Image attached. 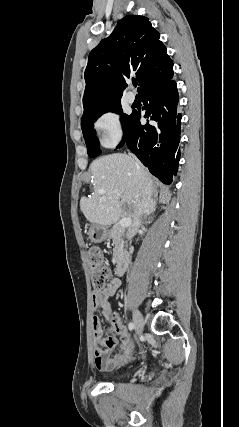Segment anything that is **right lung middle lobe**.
Masks as SVG:
<instances>
[{
  "label": "right lung middle lobe",
  "mask_w": 239,
  "mask_h": 427,
  "mask_svg": "<svg viewBox=\"0 0 239 427\" xmlns=\"http://www.w3.org/2000/svg\"><path fill=\"white\" fill-rule=\"evenodd\" d=\"M106 112H115L117 114H120L122 127L124 129V137L120 145H123L124 143L125 132L131 115L123 113L120 102L99 106L88 112L86 115L82 116L81 120V128L83 136L86 139L88 155L92 158L98 156L101 153L99 141L95 136L94 122L97 120L98 117H100Z\"/></svg>",
  "instance_id": "dd1d6c3e"
}]
</instances>
